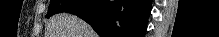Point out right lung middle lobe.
<instances>
[{
    "label": "right lung middle lobe",
    "mask_w": 219,
    "mask_h": 37,
    "mask_svg": "<svg viewBox=\"0 0 219 37\" xmlns=\"http://www.w3.org/2000/svg\"><path fill=\"white\" fill-rule=\"evenodd\" d=\"M79 0H51L48 7V12L46 17L64 12L69 6L77 3Z\"/></svg>",
    "instance_id": "right-lung-middle-lobe-1"
}]
</instances>
